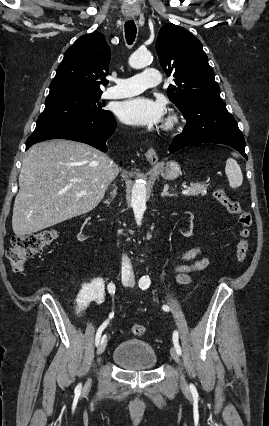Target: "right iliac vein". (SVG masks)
I'll use <instances>...</instances> for the list:
<instances>
[{
  "label": "right iliac vein",
  "mask_w": 269,
  "mask_h": 426,
  "mask_svg": "<svg viewBox=\"0 0 269 426\" xmlns=\"http://www.w3.org/2000/svg\"><path fill=\"white\" fill-rule=\"evenodd\" d=\"M130 283H131V279L129 277H122V284L124 286H128ZM106 345H107V338L106 336H103L97 349L98 355H101L105 351ZM90 387H91V379H88L84 385V391L89 390Z\"/></svg>",
  "instance_id": "63e3f726"
}]
</instances>
